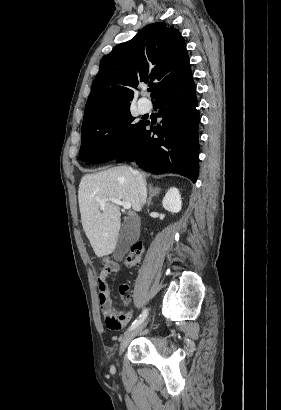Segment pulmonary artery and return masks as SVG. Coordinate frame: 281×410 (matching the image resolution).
<instances>
[{"mask_svg":"<svg viewBox=\"0 0 281 410\" xmlns=\"http://www.w3.org/2000/svg\"><path fill=\"white\" fill-rule=\"evenodd\" d=\"M138 106L141 112L145 113L150 110L151 104L146 99H140L138 102Z\"/></svg>","mask_w":281,"mask_h":410,"instance_id":"pulmonary-artery-1","label":"pulmonary artery"}]
</instances>
